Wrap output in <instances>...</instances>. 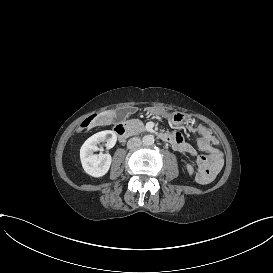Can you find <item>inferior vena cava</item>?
<instances>
[{
  "label": "inferior vena cava",
  "mask_w": 273,
  "mask_h": 273,
  "mask_svg": "<svg viewBox=\"0 0 273 273\" xmlns=\"http://www.w3.org/2000/svg\"><path fill=\"white\" fill-rule=\"evenodd\" d=\"M141 145V140L138 137H132L127 142V147L129 149L136 148Z\"/></svg>",
  "instance_id": "obj_1"
}]
</instances>
